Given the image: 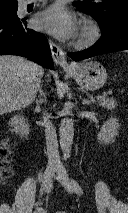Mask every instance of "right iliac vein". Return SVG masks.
I'll return each mask as SVG.
<instances>
[{
    "mask_svg": "<svg viewBox=\"0 0 128 213\" xmlns=\"http://www.w3.org/2000/svg\"><path fill=\"white\" fill-rule=\"evenodd\" d=\"M58 171V168L50 166L46 169L45 173H44V179H43V183H42V189L43 190H47V187L51 181V179L53 178V176L55 175V173Z\"/></svg>",
    "mask_w": 128,
    "mask_h": 213,
    "instance_id": "63e3f726",
    "label": "right iliac vein"
}]
</instances>
